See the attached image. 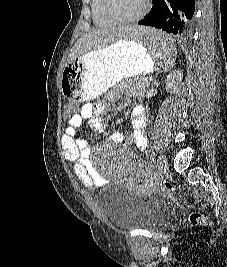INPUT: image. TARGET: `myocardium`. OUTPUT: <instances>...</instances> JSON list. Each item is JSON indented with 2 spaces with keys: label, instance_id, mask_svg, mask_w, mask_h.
I'll list each match as a JSON object with an SVG mask.
<instances>
[{
  "label": "myocardium",
  "instance_id": "f54148a6",
  "mask_svg": "<svg viewBox=\"0 0 227 267\" xmlns=\"http://www.w3.org/2000/svg\"><path fill=\"white\" fill-rule=\"evenodd\" d=\"M112 3L113 0H103L104 12L111 20H113L115 23L120 24L134 23L139 21L146 15L149 9V0H144L143 7L139 13L132 17H121L113 10Z\"/></svg>",
  "mask_w": 227,
  "mask_h": 267
}]
</instances>
